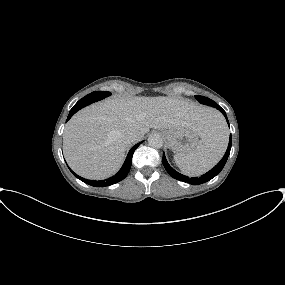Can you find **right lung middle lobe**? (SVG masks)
<instances>
[{
	"label": "right lung middle lobe",
	"mask_w": 285,
	"mask_h": 285,
	"mask_svg": "<svg viewBox=\"0 0 285 285\" xmlns=\"http://www.w3.org/2000/svg\"><path fill=\"white\" fill-rule=\"evenodd\" d=\"M111 93L108 91H96V92H92L91 94H88L87 96L83 97L81 100H79L80 102H84L85 100H90V99H94L96 98L93 102L101 100L107 96H110ZM92 102V103H93Z\"/></svg>",
	"instance_id": "right-lung-middle-lobe-1"
}]
</instances>
